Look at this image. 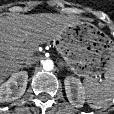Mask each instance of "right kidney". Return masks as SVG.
I'll use <instances>...</instances> for the list:
<instances>
[{"mask_svg":"<svg viewBox=\"0 0 114 114\" xmlns=\"http://www.w3.org/2000/svg\"><path fill=\"white\" fill-rule=\"evenodd\" d=\"M28 73L20 71L13 73L11 77L0 86V103L12 102L20 98L27 87Z\"/></svg>","mask_w":114,"mask_h":114,"instance_id":"right-kidney-1","label":"right kidney"}]
</instances>
